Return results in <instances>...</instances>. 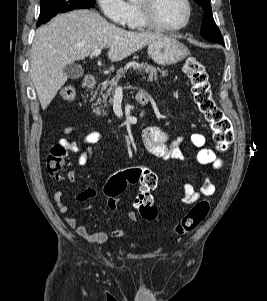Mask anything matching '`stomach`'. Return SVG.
<instances>
[{"instance_id":"0dacf381","label":"stomach","mask_w":267,"mask_h":301,"mask_svg":"<svg viewBox=\"0 0 267 301\" xmlns=\"http://www.w3.org/2000/svg\"><path fill=\"white\" fill-rule=\"evenodd\" d=\"M149 57L159 65H172L185 59L190 51L175 38L164 36L148 46Z\"/></svg>"}]
</instances>
